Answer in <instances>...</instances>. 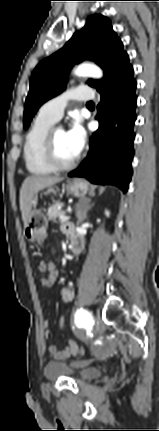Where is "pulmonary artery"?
Here are the masks:
<instances>
[{"label":"pulmonary artery","instance_id":"e3ab8cb5","mask_svg":"<svg viewBox=\"0 0 159 431\" xmlns=\"http://www.w3.org/2000/svg\"><path fill=\"white\" fill-rule=\"evenodd\" d=\"M93 98L94 91L91 87L78 85L47 101L42 105L39 113L56 122L62 117L69 101H91Z\"/></svg>","mask_w":159,"mask_h":431}]
</instances>
